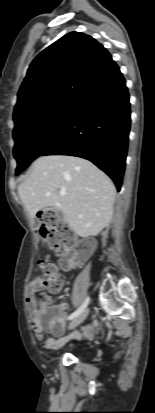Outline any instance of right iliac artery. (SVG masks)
Wrapping results in <instances>:
<instances>
[{
	"label": "right iliac artery",
	"instance_id": "obj_1",
	"mask_svg": "<svg viewBox=\"0 0 155 413\" xmlns=\"http://www.w3.org/2000/svg\"><path fill=\"white\" fill-rule=\"evenodd\" d=\"M89 300L90 298L87 297L84 302L82 303V305L75 311L73 312L69 317L68 320H72L74 319L76 316H78L82 311L85 310V308L87 307V305L89 304Z\"/></svg>",
	"mask_w": 155,
	"mask_h": 413
}]
</instances>
